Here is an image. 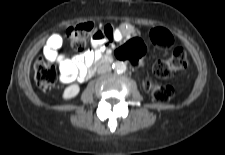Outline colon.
I'll return each mask as SVG.
<instances>
[{
	"label": "colon",
	"mask_w": 225,
	"mask_h": 155,
	"mask_svg": "<svg viewBox=\"0 0 225 155\" xmlns=\"http://www.w3.org/2000/svg\"><path fill=\"white\" fill-rule=\"evenodd\" d=\"M92 32L93 24L90 22L69 27L65 34L69 47L78 52L83 51L87 39ZM148 38L156 46L169 47L174 43L171 32L162 27L152 29L149 32ZM144 52L145 44L143 38L135 36L116 50L115 57L119 61L127 59L129 65L136 66L142 60ZM188 64L189 61L185 49L177 47L169 59L155 63L153 72L158 78L166 80L172 78L177 72L185 70ZM33 68L34 78L39 88L47 90L56 83L58 73L50 61L39 57L36 59ZM149 92L153 100L158 103H166L173 96L171 86L159 85L153 82L149 84Z\"/></svg>",
	"instance_id": "obj_1"
}]
</instances>
